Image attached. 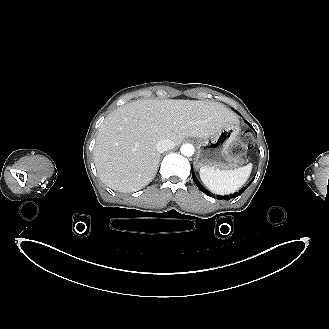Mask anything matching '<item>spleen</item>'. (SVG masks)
<instances>
[{
  "label": "spleen",
  "instance_id": "1",
  "mask_svg": "<svg viewBox=\"0 0 329 329\" xmlns=\"http://www.w3.org/2000/svg\"><path fill=\"white\" fill-rule=\"evenodd\" d=\"M252 164L233 170H214L201 168L199 171L203 184L216 194H230L240 189L248 180Z\"/></svg>",
  "mask_w": 329,
  "mask_h": 329
}]
</instances>
